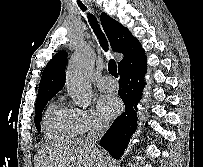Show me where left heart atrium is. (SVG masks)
<instances>
[{"label":"left heart atrium","mask_w":203,"mask_h":167,"mask_svg":"<svg viewBox=\"0 0 203 167\" xmlns=\"http://www.w3.org/2000/svg\"><path fill=\"white\" fill-rule=\"evenodd\" d=\"M121 103L114 95H103L98 100V110L105 119L114 118L120 111Z\"/></svg>","instance_id":"left-heart-atrium-1"}]
</instances>
